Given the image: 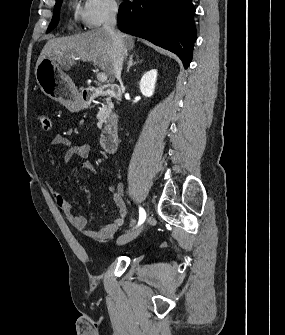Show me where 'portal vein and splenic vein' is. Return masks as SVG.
Masks as SVG:
<instances>
[{
    "label": "portal vein and splenic vein",
    "instance_id": "portal-vein-and-splenic-vein-1",
    "mask_svg": "<svg viewBox=\"0 0 285 335\" xmlns=\"http://www.w3.org/2000/svg\"><path fill=\"white\" fill-rule=\"evenodd\" d=\"M96 78L98 82H107L108 80L106 74H97Z\"/></svg>",
    "mask_w": 285,
    "mask_h": 335
}]
</instances>
